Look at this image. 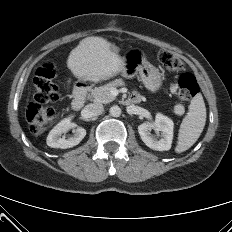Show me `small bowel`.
Listing matches in <instances>:
<instances>
[{
  "mask_svg": "<svg viewBox=\"0 0 232 232\" xmlns=\"http://www.w3.org/2000/svg\"><path fill=\"white\" fill-rule=\"evenodd\" d=\"M177 88V86L175 84L172 85V90L175 91ZM140 99V96L138 94H134L131 98L132 101H136V100H139Z\"/></svg>",
  "mask_w": 232,
  "mask_h": 232,
  "instance_id": "c3829d8e",
  "label": "small bowel"
}]
</instances>
